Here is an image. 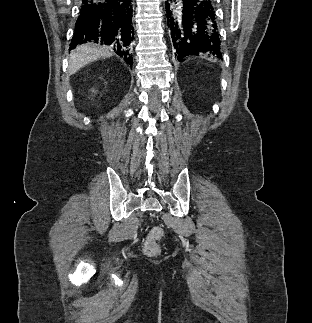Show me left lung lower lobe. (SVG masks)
I'll return each instance as SVG.
<instances>
[{"instance_id": "0a47b994", "label": "left lung lower lobe", "mask_w": 312, "mask_h": 323, "mask_svg": "<svg viewBox=\"0 0 312 323\" xmlns=\"http://www.w3.org/2000/svg\"><path fill=\"white\" fill-rule=\"evenodd\" d=\"M171 48L178 61L194 55L222 57L214 0L166 2Z\"/></svg>"}]
</instances>
